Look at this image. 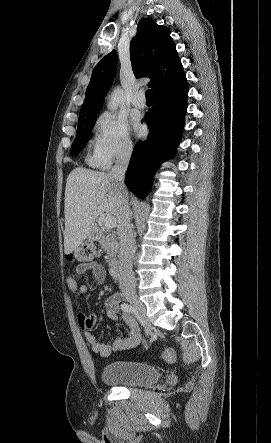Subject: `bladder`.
Here are the masks:
<instances>
[{"mask_svg": "<svg viewBox=\"0 0 271 443\" xmlns=\"http://www.w3.org/2000/svg\"><path fill=\"white\" fill-rule=\"evenodd\" d=\"M101 378L105 384L112 386H147L158 382L160 373L151 364L124 360L105 365Z\"/></svg>", "mask_w": 271, "mask_h": 443, "instance_id": "obj_1", "label": "bladder"}]
</instances>
